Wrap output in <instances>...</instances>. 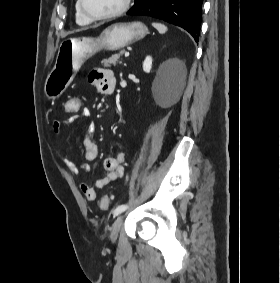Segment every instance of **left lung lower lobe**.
Masks as SVG:
<instances>
[{"instance_id":"left-lung-lower-lobe-1","label":"left lung lower lobe","mask_w":280,"mask_h":283,"mask_svg":"<svg viewBox=\"0 0 280 283\" xmlns=\"http://www.w3.org/2000/svg\"><path fill=\"white\" fill-rule=\"evenodd\" d=\"M203 0H136L128 15H146L187 30L199 40Z\"/></svg>"}]
</instances>
